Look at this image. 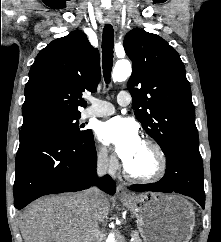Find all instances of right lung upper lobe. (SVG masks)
<instances>
[{
    "instance_id": "1",
    "label": "right lung upper lobe",
    "mask_w": 221,
    "mask_h": 242,
    "mask_svg": "<svg viewBox=\"0 0 221 242\" xmlns=\"http://www.w3.org/2000/svg\"><path fill=\"white\" fill-rule=\"evenodd\" d=\"M100 56L81 31L53 40L42 49L29 72L22 106L23 125L80 114L81 95L95 92Z\"/></svg>"
}]
</instances>
